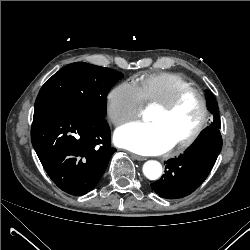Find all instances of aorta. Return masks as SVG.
I'll list each match as a JSON object with an SVG mask.
<instances>
[{
	"instance_id": "762f6f07",
	"label": "aorta",
	"mask_w": 250,
	"mask_h": 250,
	"mask_svg": "<svg viewBox=\"0 0 250 250\" xmlns=\"http://www.w3.org/2000/svg\"><path fill=\"white\" fill-rule=\"evenodd\" d=\"M143 173L148 179L156 180L162 174V166L157 161H147L143 166Z\"/></svg>"
}]
</instances>
